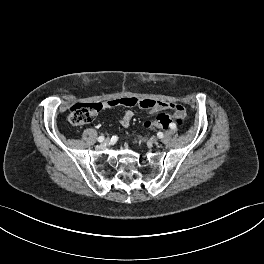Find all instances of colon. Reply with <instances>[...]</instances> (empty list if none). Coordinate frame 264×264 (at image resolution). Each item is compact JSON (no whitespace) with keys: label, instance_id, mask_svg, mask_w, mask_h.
<instances>
[{"label":"colon","instance_id":"obj_1","mask_svg":"<svg viewBox=\"0 0 264 264\" xmlns=\"http://www.w3.org/2000/svg\"><path fill=\"white\" fill-rule=\"evenodd\" d=\"M109 106H132L133 99L129 97L117 98L107 102ZM103 108L102 103H76L70 108L69 121L74 126H82L90 123L95 115ZM184 110L170 116L167 113H160L152 121H147L144 127L149 130L167 129L172 122L178 126L183 124Z\"/></svg>","mask_w":264,"mask_h":264}]
</instances>
